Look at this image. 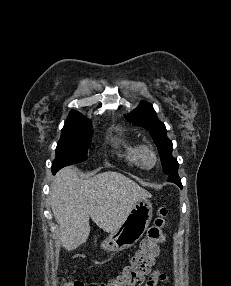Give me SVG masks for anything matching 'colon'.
Wrapping results in <instances>:
<instances>
[{"label": "colon", "mask_w": 231, "mask_h": 286, "mask_svg": "<svg viewBox=\"0 0 231 286\" xmlns=\"http://www.w3.org/2000/svg\"><path fill=\"white\" fill-rule=\"evenodd\" d=\"M168 225V211L166 208H160L154 224L141 241L139 249L116 277L104 282L89 284L81 281H68L62 286H140L159 255L160 244L165 240Z\"/></svg>", "instance_id": "colon-1"}]
</instances>
